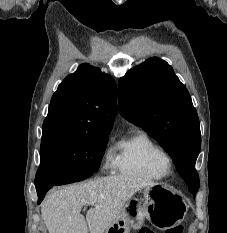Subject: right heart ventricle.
Instances as JSON below:
<instances>
[{
	"instance_id": "obj_1",
	"label": "right heart ventricle",
	"mask_w": 227,
	"mask_h": 233,
	"mask_svg": "<svg viewBox=\"0 0 227 233\" xmlns=\"http://www.w3.org/2000/svg\"><path fill=\"white\" fill-rule=\"evenodd\" d=\"M167 154L146 132L132 131L115 145L111 167L117 173L156 181L164 178L159 162Z\"/></svg>"
}]
</instances>
